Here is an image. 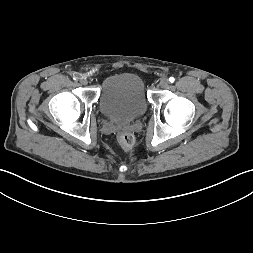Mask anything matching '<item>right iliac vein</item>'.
<instances>
[{
  "label": "right iliac vein",
  "instance_id": "1",
  "mask_svg": "<svg viewBox=\"0 0 253 253\" xmlns=\"http://www.w3.org/2000/svg\"><path fill=\"white\" fill-rule=\"evenodd\" d=\"M80 83H81L82 85H87V84H88V81H87L86 79H81V80H80Z\"/></svg>",
  "mask_w": 253,
  "mask_h": 253
}]
</instances>
